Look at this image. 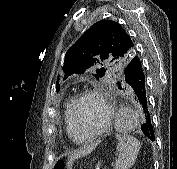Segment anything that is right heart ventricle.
<instances>
[{
	"mask_svg": "<svg viewBox=\"0 0 177 169\" xmlns=\"http://www.w3.org/2000/svg\"><path fill=\"white\" fill-rule=\"evenodd\" d=\"M73 103V99L69 98L64 106V128L67 136L74 142H80L77 140V137L72 129L71 120H70V111ZM84 142V141H82Z\"/></svg>",
	"mask_w": 177,
	"mask_h": 169,
	"instance_id": "e07e8e85",
	"label": "right heart ventricle"
}]
</instances>
